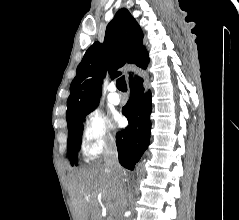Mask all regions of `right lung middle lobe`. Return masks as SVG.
Here are the masks:
<instances>
[{"label": "right lung middle lobe", "mask_w": 239, "mask_h": 220, "mask_svg": "<svg viewBox=\"0 0 239 220\" xmlns=\"http://www.w3.org/2000/svg\"><path fill=\"white\" fill-rule=\"evenodd\" d=\"M88 114V113H87ZM87 114L77 118L71 125L68 126V145L67 151L70 162L77 165L78 150L81 147L82 133H83V119Z\"/></svg>", "instance_id": "right-lung-middle-lobe-1"}]
</instances>
